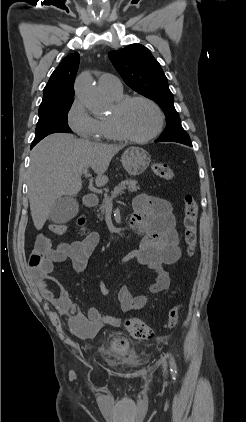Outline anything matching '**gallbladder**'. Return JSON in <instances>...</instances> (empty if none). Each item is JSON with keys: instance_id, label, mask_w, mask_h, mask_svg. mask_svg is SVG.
<instances>
[{"instance_id": "gallbladder-1", "label": "gallbladder", "mask_w": 246, "mask_h": 422, "mask_svg": "<svg viewBox=\"0 0 246 422\" xmlns=\"http://www.w3.org/2000/svg\"><path fill=\"white\" fill-rule=\"evenodd\" d=\"M79 204L72 196L58 198L52 206L48 219L56 224L70 221L78 213Z\"/></svg>"}]
</instances>
